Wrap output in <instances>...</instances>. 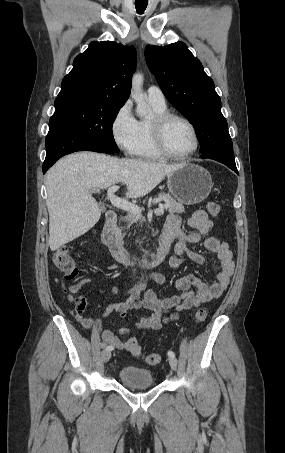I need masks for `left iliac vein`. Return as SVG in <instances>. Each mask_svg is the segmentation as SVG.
Instances as JSON below:
<instances>
[{
	"label": "left iliac vein",
	"mask_w": 285,
	"mask_h": 453,
	"mask_svg": "<svg viewBox=\"0 0 285 453\" xmlns=\"http://www.w3.org/2000/svg\"><path fill=\"white\" fill-rule=\"evenodd\" d=\"M169 364H170V367H171L173 370H176V369H177L178 362H177V359H176L175 357H170V358H169Z\"/></svg>",
	"instance_id": "obj_1"
}]
</instances>
